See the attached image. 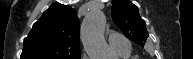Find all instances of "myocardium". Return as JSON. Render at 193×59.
Listing matches in <instances>:
<instances>
[{"label":"myocardium","mask_w":193,"mask_h":59,"mask_svg":"<svg viewBox=\"0 0 193 59\" xmlns=\"http://www.w3.org/2000/svg\"><path fill=\"white\" fill-rule=\"evenodd\" d=\"M128 59H137V58H128Z\"/></svg>","instance_id":"f54148a6"}]
</instances>
